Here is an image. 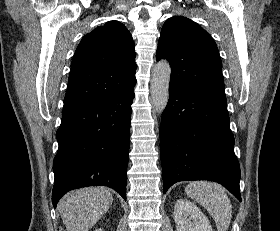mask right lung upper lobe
<instances>
[{
    "instance_id": "right-lung-upper-lobe-1",
    "label": "right lung upper lobe",
    "mask_w": 280,
    "mask_h": 231,
    "mask_svg": "<svg viewBox=\"0 0 280 231\" xmlns=\"http://www.w3.org/2000/svg\"><path fill=\"white\" fill-rule=\"evenodd\" d=\"M136 68L128 29L118 21L97 27L76 49L63 111L134 90Z\"/></svg>"
}]
</instances>
